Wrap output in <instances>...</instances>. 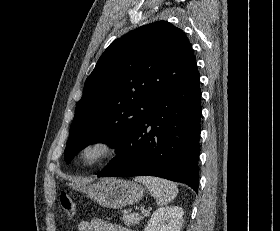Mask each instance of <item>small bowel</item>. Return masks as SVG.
<instances>
[{"mask_svg":"<svg viewBox=\"0 0 280 231\" xmlns=\"http://www.w3.org/2000/svg\"><path fill=\"white\" fill-rule=\"evenodd\" d=\"M78 231H127V229L118 223L95 218L80 222Z\"/></svg>","mask_w":280,"mask_h":231,"instance_id":"1","label":"small bowel"}]
</instances>
